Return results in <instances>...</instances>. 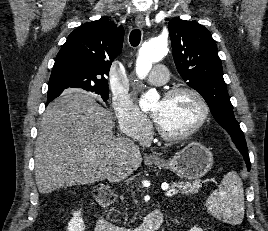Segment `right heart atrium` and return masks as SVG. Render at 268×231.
<instances>
[{"label":"right heart atrium","instance_id":"right-heart-atrium-1","mask_svg":"<svg viewBox=\"0 0 268 231\" xmlns=\"http://www.w3.org/2000/svg\"><path fill=\"white\" fill-rule=\"evenodd\" d=\"M113 111L121 133L140 143L145 142L152 131V125L128 96L115 98Z\"/></svg>","mask_w":268,"mask_h":231}]
</instances>
